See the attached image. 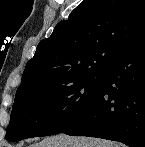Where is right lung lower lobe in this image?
I'll return each instance as SVG.
<instances>
[{
  "label": "right lung lower lobe",
  "mask_w": 145,
  "mask_h": 147,
  "mask_svg": "<svg viewBox=\"0 0 145 147\" xmlns=\"http://www.w3.org/2000/svg\"><path fill=\"white\" fill-rule=\"evenodd\" d=\"M63 133L145 147V35L101 72L96 96Z\"/></svg>",
  "instance_id": "1"
}]
</instances>
